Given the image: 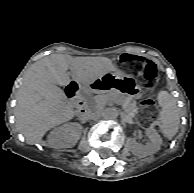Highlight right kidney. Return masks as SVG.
Returning <instances> with one entry per match:
<instances>
[{
	"mask_svg": "<svg viewBox=\"0 0 194 193\" xmlns=\"http://www.w3.org/2000/svg\"><path fill=\"white\" fill-rule=\"evenodd\" d=\"M81 126L76 123H66L53 129L47 138V144L51 148H71L79 140Z\"/></svg>",
	"mask_w": 194,
	"mask_h": 193,
	"instance_id": "ca27d5eb",
	"label": "right kidney"
}]
</instances>
